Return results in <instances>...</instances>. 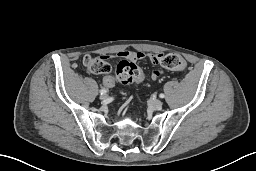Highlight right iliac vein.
Masks as SVG:
<instances>
[{
    "label": "right iliac vein",
    "instance_id": "63e3f726",
    "mask_svg": "<svg viewBox=\"0 0 256 171\" xmlns=\"http://www.w3.org/2000/svg\"><path fill=\"white\" fill-rule=\"evenodd\" d=\"M106 98H107V95H106V94H101V95H100V99H101V100H105Z\"/></svg>",
    "mask_w": 256,
    "mask_h": 171
}]
</instances>
